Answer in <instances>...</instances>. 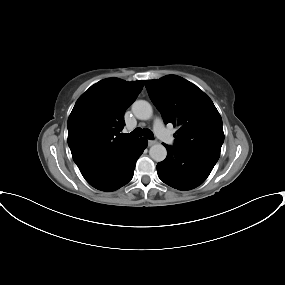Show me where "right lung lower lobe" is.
<instances>
[{"label": "right lung lower lobe", "instance_id": "1", "mask_svg": "<svg viewBox=\"0 0 285 285\" xmlns=\"http://www.w3.org/2000/svg\"><path fill=\"white\" fill-rule=\"evenodd\" d=\"M147 147L145 138L135 139L102 157L81 173L85 180L101 191H114L133 177L137 159Z\"/></svg>", "mask_w": 285, "mask_h": 285}]
</instances>
